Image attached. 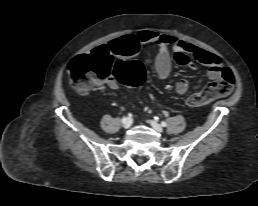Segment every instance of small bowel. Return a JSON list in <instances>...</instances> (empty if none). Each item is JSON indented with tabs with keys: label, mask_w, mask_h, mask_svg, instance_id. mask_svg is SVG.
<instances>
[{
	"label": "small bowel",
	"mask_w": 258,
	"mask_h": 206,
	"mask_svg": "<svg viewBox=\"0 0 258 206\" xmlns=\"http://www.w3.org/2000/svg\"><path fill=\"white\" fill-rule=\"evenodd\" d=\"M152 45L158 49L155 58V71L159 79L168 78L171 73L172 60L178 65L196 68L197 64L208 67V77L217 80L221 77L223 64L221 58L209 51L199 48L187 41L167 34L155 31L143 30L135 35H124L108 43L101 45L95 50H103L109 55L130 56L135 54L142 46ZM169 47H172L173 57ZM106 85L112 89H117L118 84L114 78H109ZM189 88L188 80L179 79L175 85L178 94H184Z\"/></svg>",
	"instance_id": "obj_1"
}]
</instances>
